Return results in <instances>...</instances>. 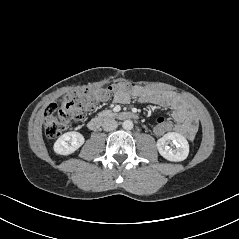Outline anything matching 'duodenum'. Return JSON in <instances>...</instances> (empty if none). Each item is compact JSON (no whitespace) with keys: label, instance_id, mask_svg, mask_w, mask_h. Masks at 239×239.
Returning <instances> with one entry per match:
<instances>
[{"label":"duodenum","instance_id":"410a0bca","mask_svg":"<svg viewBox=\"0 0 239 239\" xmlns=\"http://www.w3.org/2000/svg\"><path fill=\"white\" fill-rule=\"evenodd\" d=\"M110 118L119 119V120H129V119H136L137 115L133 112L129 111H120V112H110V113H103L93 117L88 122V128L90 130H97L102 123Z\"/></svg>","mask_w":239,"mask_h":239}]
</instances>
